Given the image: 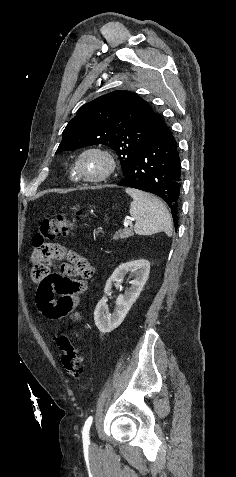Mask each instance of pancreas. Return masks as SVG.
I'll return each instance as SVG.
<instances>
[{
	"label": "pancreas",
	"mask_w": 236,
	"mask_h": 477,
	"mask_svg": "<svg viewBox=\"0 0 236 477\" xmlns=\"http://www.w3.org/2000/svg\"><path fill=\"white\" fill-rule=\"evenodd\" d=\"M134 235V232H133V229L132 228H129V229H125L123 231H118L114 234L113 238L114 240H118L119 238L120 239H126V238H129L131 236Z\"/></svg>",
	"instance_id": "cf45deb5"
}]
</instances>
